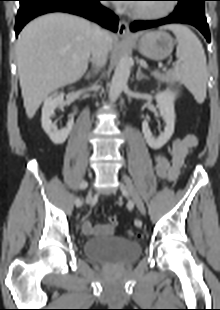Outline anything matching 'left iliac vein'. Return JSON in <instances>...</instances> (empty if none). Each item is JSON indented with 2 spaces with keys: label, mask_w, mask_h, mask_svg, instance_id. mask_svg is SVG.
I'll use <instances>...</instances> for the list:
<instances>
[{
  "label": "left iliac vein",
  "mask_w": 220,
  "mask_h": 310,
  "mask_svg": "<svg viewBox=\"0 0 220 310\" xmlns=\"http://www.w3.org/2000/svg\"><path fill=\"white\" fill-rule=\"evenodd\" d=\"M122 178H123V181L125 183L126 189L129 193L130 197L132 198V200L136 204L137 208L140 210L141 213L145 214V208H144L143 201H142L137 189L135 188L132 180L127 175H125L124 173H122Z\"/></svg>",
  "instance_id": "4c4485c4"
}]
</instances>
